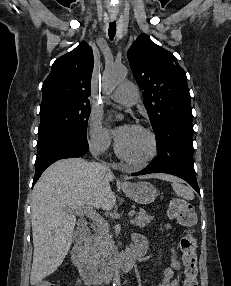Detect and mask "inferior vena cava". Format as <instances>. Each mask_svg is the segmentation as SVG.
Listing matches in <instances>:
<instances>
[{"label": "inferior vena cava", "instance_id": "obj_1", "mask_svg": "<svg viewBox=\"0 0 231 286\" xmlns=\"http://www.w3.org/2000/svg\"><path fill=\"white\" fill-rule=\"evenodd\" d=\"M103 167H104L105 169H108V166L106 165V163H103Z\"/></svg>", "mask_w": 231, "mask_h": 286}]
</instances>
